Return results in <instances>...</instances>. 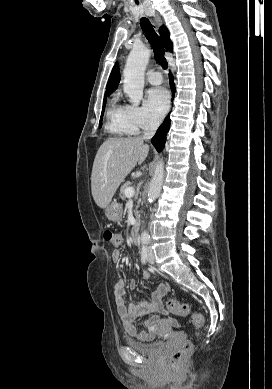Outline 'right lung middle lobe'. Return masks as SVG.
I'll return each mask as SVG.
<instances>
[{"label": "right lung middle lobe", "instance_id": "obj_1", "mask_svg": "<svg viewBox=\"0 0 272 389\" xmlns=\"http://www.w3.org/2000/svg\"><path fill=\"white\" fill-rule=\"evenodd\" d=\"M106 98H107V95L104 96L103 109H102V114H101V119H100L99 127L102 126V117H103V112H104V108H105V104H106Z\"/></svg>", "mask_w": 272, "mask_h": 389}]
</instances>
